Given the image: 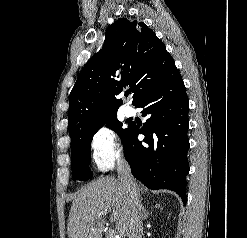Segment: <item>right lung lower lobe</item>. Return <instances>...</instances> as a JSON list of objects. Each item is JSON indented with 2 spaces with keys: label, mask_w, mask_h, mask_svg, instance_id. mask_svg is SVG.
Wrapping results in <instances>:
<instances>
[{
  "label": "right lung lower lobe",
  "mask_w": 247,
  "mask_h": 238,
  "mask_svg": "<svg viewBox=\"0 0 247 238\" xmlns=\"http://www.w3.org/2000/svg\"><path fill=\"white\" fill-rule=\"evenodd\" d=\"M135 107L143 108L142 114L148 119L141 128L129 124L123 141L132 175L149 189L175 191L186 203L189 101L177 68ZM138 134L145 136L142 142Z\"/></svg>",
  "instance_id": "1"
}]
</instances>
